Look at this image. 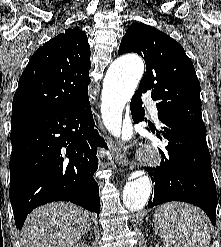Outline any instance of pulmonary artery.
I'll return each mask as SVG.
<instances>
[{
	"label": "pulmonary artery",
	"instance_id": "obj_1",
	"mask_svg": "<svg viewBox=\"0 0 221 247\" xmlns=\"http://www.w3.org/2000/svg\"><path fill=\"white\" fill-rule=\"evenodd\" d=\"M143 100L146 104L151 108V114L154 118L158 116V110L156 109L155 103L151 100L150 95L145 94L143 95Z\"/></svg>",
	"mask_w": 221,
	"mask_h": 247
}]
</instances>
